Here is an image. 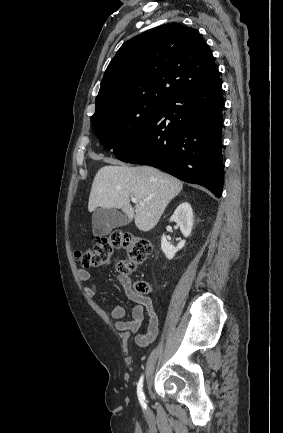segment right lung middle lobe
<instances>
[{
    "label": "right lung middle lobe",
    "instance_id": "right-lung-middle-lobe-1",
    "mask_svg": "<svg viewBox=\"0 0 283 433\" xmlns=\"http://www.w3.org/2000/svg\"><path fill=\"white\" fill-rule=\"evenodd\" d=\"M163 103L135 102L112 107L91 117L92 126L105 149L125 151L152 120Z\"/></svg>",
    "mask_w": 283,
    "mask_h": 433
}]
</instances>
